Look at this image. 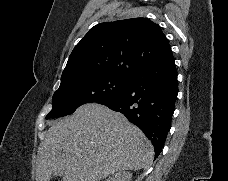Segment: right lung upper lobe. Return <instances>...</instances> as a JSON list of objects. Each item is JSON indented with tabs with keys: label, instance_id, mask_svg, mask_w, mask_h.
Instances as JSON below:
<instances>
[{
	"label": "right lung upper lobe",
	"instance_id": "right-lung-upper-lobe-1",
	"mask_svg": "<svg viewBox=\"0 0 228 181\" xmlns=\"http://www.w3.org/2000/svg\"><path fill=\"white\" fill-rule=\"evenodd\" d=\"M171 53L161 28L147 18L100 23L73 49L60 86L99 75L131 77Z\"/></svg>",
	"mask_w": 228,
	"mask_h": 181
}]
</instances>
